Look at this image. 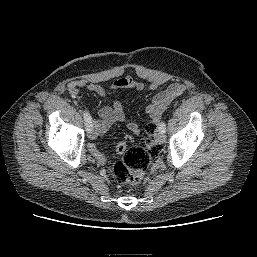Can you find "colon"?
Returning <instances> with one entry per match:
<instances>
[{
    "label": "colon",
    "instance_id": "obj_1",
    "mask_svg": "<svg viewBox=\"0 0 257 257\" xmlns=\"http://www.w3.org/2000/svg\"><path fill=\"white\" fill-rule=\"evenodd\" d=\"M157 124L150 122L146 126L149 136L156 131ZM116 151L121 155L113 167V176L119 185H137L139 184L150 165L153 158L160 153L159 144L148 138L144 147H128L125 141H120L116 146ZM96 158L101 159L97 150L93 149Z\"/></svg>",
    "mask_w": 257,
    "mask_h": 257
}]
</instances>
